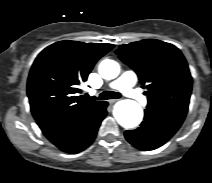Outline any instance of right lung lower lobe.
<instances>
[{
    "mask_svg": "<svg viewBox=\"0 0 212 183\" xmlns=\"http://www.w3.org/2000/svg\"><path fill=\"white\" fill-rule=\"evenodd\" d=\"M107 105L108 103L104 101L92 113L43 131V133L62 151L67 153L81 152L95 139L101 121L107 114Z\"/></svg>",
    "mask_w": 212,
    "mask_h": 183,
    "instance_id": "1",
    "label": "right lung lower lobe"
}]
</instances>
